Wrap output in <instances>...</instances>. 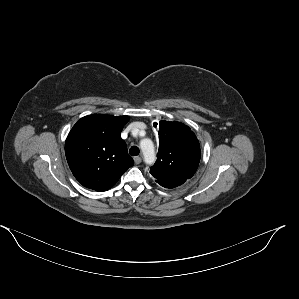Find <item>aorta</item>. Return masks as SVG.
Wrapping results in <instances>:
<instances>
[{"label":"aorta","instance_id":"obj_1","mask_svg":"<svg viewBox=\"0 0 299 299\" xmlns=\"http://www.w3.org/2000/svg\"><path fill=\"white\" fill-rule=\"evenodd\" d=\"M140 148L142 150L145 163L147 164L154 163L156 159V155H155V150H154V145L152 140L148 138L141 140Z\"/></svg>","mask_w":299,"mask_h":299}]
</instances>
